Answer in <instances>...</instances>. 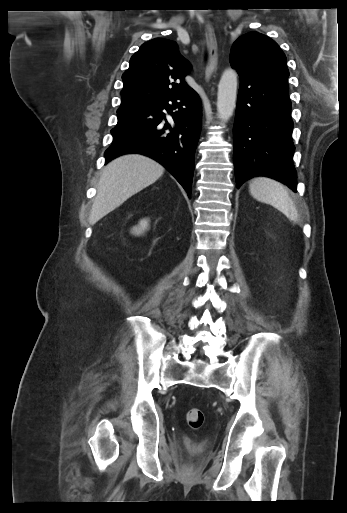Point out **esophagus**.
<instances>
[{
  "mask_svg": "<svg viewBox=\"0 0 347 513\" xmlns=\"http://www.w3.org/2000/svg\"><path fill=\"white\" fill-rule=\"evenodd\" d=\"M206 44L208 49V61L205 69L206 80H209L215 73L218 64L217 41L214 29L210 23L205 28Z\"/></svg>",
  "mask_w": 347,
  "mask_h": 513,
  "instance_id": "34e87169",
  "label": "esophagus"
}]
</instances>
